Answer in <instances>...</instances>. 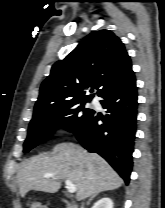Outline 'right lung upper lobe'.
<instances>
[{
  "instance_id": "obj_1",
  "label": "right lung upper lobe",
  "mask_w": 165,
  "mask_h": 208,
  "mask_svg": "<svg viewBox=\"0 0 165 208\" xmlns=\"http://www.w3.org/2000/svg\"><path fill=\"white\" fill-rule=\"evenodd\" d=\"M132 72L130 57L120 38L109 30L92 32L52 66L41 84L34 111L72 100H91L94 95H85L86 89H96L100 96Z\"/></svg>"
}]
</instances>
